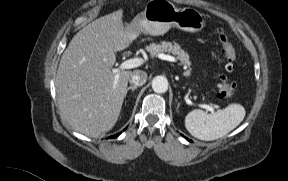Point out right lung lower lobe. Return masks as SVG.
<instances>
[{
	"label": "right lung lower lobe",
	"instance_id": "obj_1",
	"mask_svg": "<svg viewBox=\"0 0 288 181\" xmlns=\"http://www.w3.org/2000/svg\"><path fill=\"white\" fill-rule=\"evenodd\" d=\"M119 134L115 135V136H110L109 138H113V137H118Z\"/></svg>",
	"mask_w": 288,
	"mask_h": 181
}]
</instances>
